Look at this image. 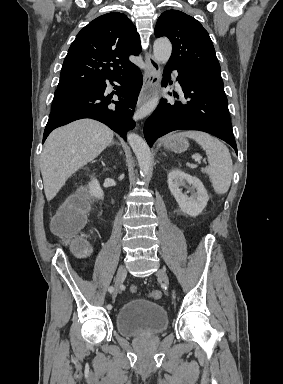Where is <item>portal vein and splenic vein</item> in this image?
Here are the masks:
<instances>
[{
  "instance_id": "1",
  "label": "portal vein and splenic vein",
  "mask_w": 283,
  "mask_h": 384,
  "mask_svg": "<svg viewBox=\"0 0 283 384\" xmlns=\"http://www.w3.org/2000/svg\"><path fill=\"white\" fill-rule=\"evenodd\" d=\"M192 158H194L195 162H200V160H202L201 156H199V154H194V156H192Z\"/></svg>"
}]
</instances>
